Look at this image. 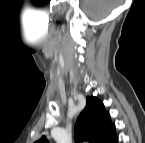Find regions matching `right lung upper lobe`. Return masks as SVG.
<instances>
[{
  "instance_id": "obj_1",
  "label": "right lung upper lobe",
  "mask_w": 145,
  "mask_h": 143,
  "mask_svg": "<svg viewBox=\"0 0 145 143\" xmlns=\"http://www.w3.org/2000/svg\"><path fill=\"white\" fill-rule=\"evenodd\" d=\"M87 105L79 115L75 125L76 140H89L90 143H116L115 126L103 103L96 97H87ZM37 143H48L45 136Z\"/></svg>"
}]
</instances>
